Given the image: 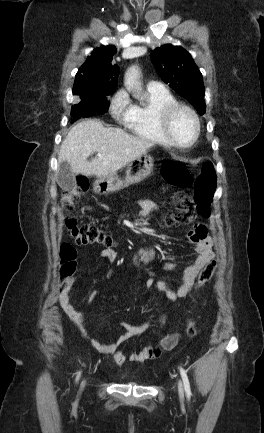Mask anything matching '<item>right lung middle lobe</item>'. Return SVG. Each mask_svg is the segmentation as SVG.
<instances>
[{"mask_svg":"<svg viewBox=\"0 0 264 433\" xmlns=\"http://www.w3.org/2000/svg\"><path fill=\"white\" fill-rule=\"evenodd\" d=\"M110 94L112 93H105L93 97L79 98V101L72 106V116L75 118H79L106 113L108 111L109 105L106 96Z\"/></svg>","mask_w":264,"mask_h":433,"instance_id":"right-lung-middle-lobe-1","label":"right lung middle lobe"}]
</instances>
